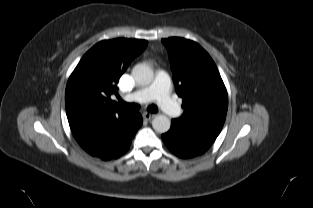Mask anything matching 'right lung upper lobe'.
<instances>
[{"instance_id": "right-lung-upper-lobe-1", "label": "right lung upper lobe", "mask_w": 313, "mask_h": 208, "mask_svg": "<svg viewBox=\"0 0 313 208\" xmlns=\"http://www.w3.org/2000/svg\"><path fill=\"white\" fill-rule=\"evenodd\" d=\"M146 40L118 38L94 45L69 77L65 92L68 121L130 113L110 99L131 61L147 46Z\"/></svg>"}]
</instances>
